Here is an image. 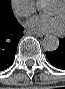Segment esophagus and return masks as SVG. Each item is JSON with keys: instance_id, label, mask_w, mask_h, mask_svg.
I'll use <instances>...</instances> for the list:
<instances>
[{"instance_id": "1", "label": "esophagus", "mask_w": 65, "mask_h": 89, "mask_svg": "<svg viewBox=\"0 0 65 89\" xmlns=\"http://www.w3.org/2000/svg\"><path fill=\"white\" fill-rule=\"evenodd\" d=\"M27 33H30V34H33V35H36L38 37H43L44 34L42 33H39V32H35V31H31V30H28Z\"/></svg>"}]
</instances>
